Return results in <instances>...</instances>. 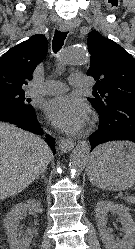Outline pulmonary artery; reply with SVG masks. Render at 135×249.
<instances>
[{
    "instance_id": "1",
    "label": "pulmonary artery",
    "mask_w": 135,
    "mask_h": 249,
    "mask_svg": "<svg viewBox=\"0 0 135 249\" xmlns=\"http://www.w3.org/2000/svg\"><path fill=\"white\" fill-rule=\"evenodd\" d=\"M70 86L73 88L89 87L92 85V81L82 76L81 74H73L69 78ZM67 85L60 81H47L43 85L31 90V93L55 95L66 92Z\"/></svg>"
}]
</instances>
